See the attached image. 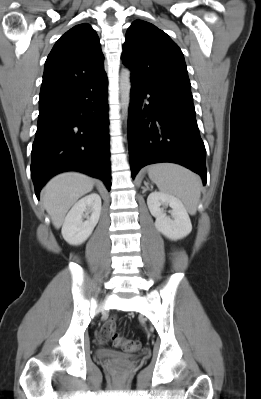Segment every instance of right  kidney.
<instances>
[{
    "label": "right kidney",
    "instance_id": "right-kidney-1",
    "mask_svg": "<svg viewBox=\"0 0 261 399\" xmlns=\"http://www.w3.org/2000/svg\"><path fill=\"white\" fill-rule=\"evenodd\" d=\"M85 212H89L90 217ZM100 213L101 198L98 194L92 193L80 199L65 217L61 231L64 240L70 245L84 243L97 225ZM83 218L87 220L83 221Z\"/></svg>",
    "mask_w": 261,
    "mask_h": 399
}]
</instances>
